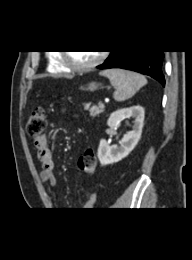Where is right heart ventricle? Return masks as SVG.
<instances>
[{"mask_svg": "<svg viewBox=\"0 0 192 260\" xmlns=\"http://www.w3.org/2000/svg\"><path fill=\"white\" fill-rule=\"evenodd\" d=\"M48 70L52 73H68L69 69L61 61L59 53L49 55Z\"/></svg>", "mask_w": 192, "mask_h": 260, "instance_id": "right-heart-ventricle-1", "label": "right heart ventricle"}]
</instances>
